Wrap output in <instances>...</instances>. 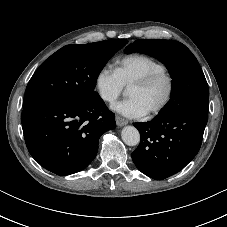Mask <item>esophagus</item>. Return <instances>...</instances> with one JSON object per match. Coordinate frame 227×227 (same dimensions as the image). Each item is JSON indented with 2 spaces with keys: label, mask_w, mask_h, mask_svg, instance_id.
Masks as SVG:
<instances>
[{
  "label": "esophagus",
  "mask_w": 227,
  "mask_h": 227,
  "mask_svg": "<svg viewBox=\"0 0 227 227\" xmlns=\"http://www.w3.org/2000/svg\"><path fill=\"white\" fill-rule=\"evenodd\" d=\"M115 120H116V124L119 126V127H122L124 125H126L128 123L127 120H125L124 118L120 117V116H116L115 117Z\"/></svg>",
  "instance_id": "obj_1"
}]
</instances>
